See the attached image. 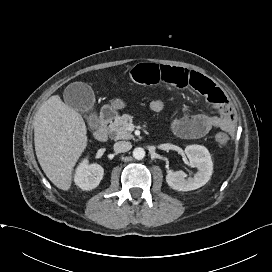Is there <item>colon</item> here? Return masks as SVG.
Wrapping results in <instances>:
<instances>
[{"mask_svg":"<svg viewBox=\"0 0 272 272\" xmlns=\"http://www.w3.org/2000/svg\"><path fill=\"white\" fill-rule=\"evenodd\" d=\"M166 106V103L162 100L156 99V100H151L148 103V107L155 112H159L163 110ZM216 142L219 145H226L228 143L229 137L226 133H218L215 137Z\"/></svg>","mask_w":272,"mask_h":272,"instance_id":"5ec220e1","label":"colon"}]
</instances>
